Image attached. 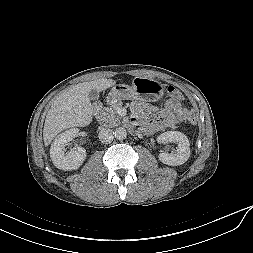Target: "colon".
Here are the masks:
<instances>
[{
	"instance_id": "colon-1",
	"label": "colon",
	"mask_w": 253,
	"mask_h": 253,
	"mask_svg": "<svg viewBox=\"0 0 253 253\" xmlns=\"http://www.w3.org/2000/svg\"><path fill=\"white\" fill-rule=\"evenodd\" d=\"M167 92H168V94H169L171 97H173V98H175V99H180V98L182 97V94H181V92L179 91V89H177V88L174 87V86H171V85L168 86V87H167ZM187 119H188L189 123H191V124H196V123H197V120H198L197 115H196L194 112L189 113Z\"/></svg>"
}]
</instances>
